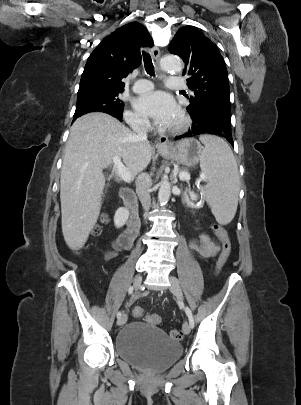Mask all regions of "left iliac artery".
Instances as JSON below:
<instances>
[{"instance_id":"44dca946","label":"left iliac artery","mask_w":301,"mask_h":405,"mask_svg":"<svg viewBox=\"0 0 301 405\" xmlns=\"http://www.w3.org/2000/svg\"><path fill=\"white\" fill-rule=\"evenodd\" d=\"M185 312L188 316L190 327L194 328V318H193L191 310L188 307H186Z\"/></svg>"}]
</instances>
